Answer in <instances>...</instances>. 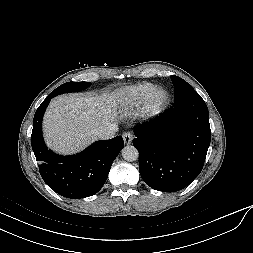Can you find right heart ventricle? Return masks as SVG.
<instances>
[{
  "mask_svg": "<svg viewBox=\"0 0 253 253\" xmlns=\"http://www.w3.org/2000/svg\"><path fill=\"white\" fill-rule=\"evenodd\" d=\"M154 89L155 86L151 83L131 86L118 95L116 105L121 112H132L145 104Z\"/></svg>",
  "mask_w": 253,
  "mask_h": 253,
  "instance_id": "obj_1",
  "label": "right heart ventricle"
}]
</instances>
